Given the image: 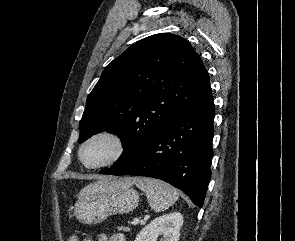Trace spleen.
Wrapping results in <instances>:
<instances>
[{"mask_svg":"<svg viewBox=\"0 0 295 241\" xmlns=\"http://www.w3.org/2000/svg\"><path fill=\"white\" fill-rule=\"evenodd\" d=\"M136 186L145 192L149 205L156 212H162L172 206L179 198V192L173 186L153 178H136Z\"/></svg>","mask_w":295,"mask_h":241,"instance_id":"spleen-1","label":"spleen"}]
</instances>
